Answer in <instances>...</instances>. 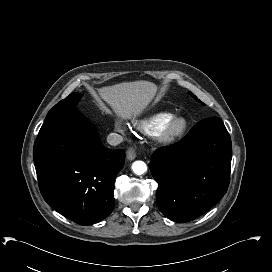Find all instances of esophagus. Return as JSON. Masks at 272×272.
I'll use <instances>...</instances> for the list:
<instances>
[{
    "label": "esophagus",
    "instance_id": "34e87169",
    "mask_svg": "<svg viewBox=\"0 0 272 272\" xmlns=\"http://www.w3.org/2000/svg\"><path fill=\"white\" fill-rule=\"evenodd\" d=\"M126 157L128 160H133L136 157L135 150L132 147H129L126 151Z\"/></svg>",
    "mask_w": 272,
    "mask_h": 272
}]
</instances>
